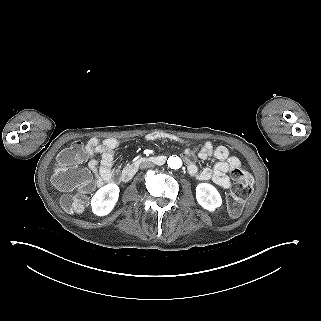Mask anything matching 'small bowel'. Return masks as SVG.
Listing matches in <instances>:
<instances>
[{
	"mask_svg": "<svg viewBox=\"0 0 321 321\" xmlns=\"http://www.w3.org/2000/svg\"><path fill=\"white\" fill-rule=\"evenodd\" d=\"M145 139L147 141L167 139L182 142L176 136L161 132H151L146 135ZM118 146L119 141L115 138L101 140L96 137L89 139L85 145L88 166L95 176V183L98 187L113 181L117 175V169L114 166V150ZM96 155H100L99 161L96 160ZM183 157L191 176L200 181L212 180L218 186L226 189L231 187V179L228 173L233 168L240 166L239 159L231 156L227 147H214L211 142H206L199 148L186 149L183 152ZM211 157L217 159L213 167L200 169L195 162L197 158L206 160Z\"/></svg>",
	"mask_w": 321,
	"mask_h": 321,
	"instance_id": "1",
	"label": "small bowel"
}]
</instances>
